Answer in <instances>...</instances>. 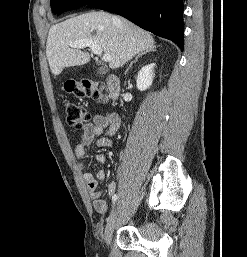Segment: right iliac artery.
<instances>
[{
  "label": "right iliac artery",
  "mask_w": 247,
  "mask_h": 257,
  "mask_svg": "<svg viewBox=\"0 0 247 257\" xmlns=\"http://www.w3.org/2000/svg\"><path fill=\"white\" fill-rule=\"evenodd\" d=\"M117 199H118V196L115 194V195L112 197L113 208H114V206H115V202L117 201ZM112 211H113V209H112Z\"/></svg>",
  "instance_id": "82829eb1"
}]
</instances>
